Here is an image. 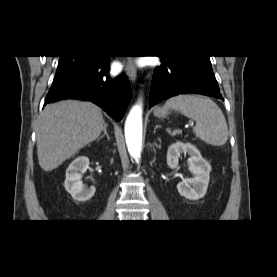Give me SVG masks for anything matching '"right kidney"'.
<instances>
[{"mask_svg":"<svg viewBox=\"0 0 277 277\" xmlns=\"http://www.w3.org/2000/svg\"><path fill=\"white\" fill-rule=\"evenodd\" d=\"M89 166V159L86 156H80L73 160L66 170L65 189L71 196L79 202H85L95 194V187L86 188L82 184V173Z\"/></svg>","mask_w":277,"mask_h":277,"instance_id":"ca27d5eb","label":"right kidney"}]
</instances>
